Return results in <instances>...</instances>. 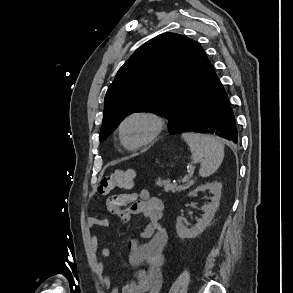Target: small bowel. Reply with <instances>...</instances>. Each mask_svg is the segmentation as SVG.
<instances>
[{"label": "small bowel", "instance_id": "obj_1", "mask_svg": "<svg viewBox=\"0 0 293 293\" xmlns=\"http://www.w3.org/2000/svg\"><path fill=\"white\" fill-rule=\"evenodd\" d=\"M107 208L122 223H128L133 215L143 216L147 220L144 230L128 241L129 264L135 269V280L122 287H112L110 293H159L163 284L164 249L167 244V233L160 222L163 202L143 189L110 196ZM87 223L92 230L110 226L109 220L98 217H89ZM90 249L93 254L99 249V239L94 232L90 237ZM101 254L104 258H109L111 248L103 247ZM104 284L110 287L111 279L105 277Z\"/></svg>", "mask_w": 293, "mask_h": 293}]
</instances>
